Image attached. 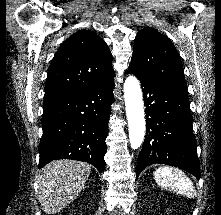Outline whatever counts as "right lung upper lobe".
<instances>
[{
	"label": "right lung upper lobe",
	"instance_id": "cb5924a9",
	"mask_svg": "<svg viewBox=\"0 0 221 215\" xmlns=\"http://www.w3.org/2000/svg\"><path fill=\"white\" fill-rule=\"evenodd\" d=\"M112 55L94 32L81 30L65 40L48 69L43 107L112 78Z\"/></svg>",
	"mask_w": 221,
	"mask_h": 215
}]
</instances>
